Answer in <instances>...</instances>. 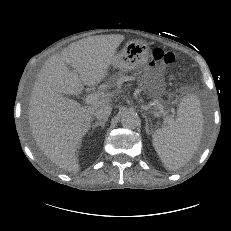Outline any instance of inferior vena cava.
Listing matches in <instances>:
<instances>
[{
	"label": "inferior vena cava",
	"instance_id": "obj_1",
	"mask_svg": "<svg viewBox=\"0 0 231 231\" xmlns=\"http://www.w3.org/2000/svg\"><path fill=\"white\" fill-rule=\"evenodd\" d=\"M112 111V107L109 104L106 105H102L101 107H99L98 109H96L94 116L98 119V120H107L109 115L111 114Z\"/></svg>",
	"mask_w": 231,
	"mask_h": 231
}]
</instances>
